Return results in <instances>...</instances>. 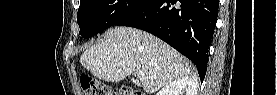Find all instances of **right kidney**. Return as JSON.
<instances>
[{"label":"right kidney","instance_id":"obj_1","mask_svg":"<svg viewBox=\"0 0 277 95\" xmlns=\"http://www.w3.org/2000/svg\"><path fill=\"white\" fill-rule=\"evenodd\" d=\"M197 82L190 78H181L165 85L157 95H197Z\"/></svg>","mask_w":277,"mask_h":95}]
</instances>
